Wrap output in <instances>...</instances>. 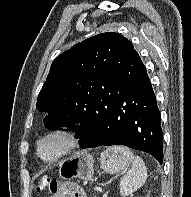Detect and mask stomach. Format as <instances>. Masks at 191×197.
Here are the masks:
<instances>
[{
    "instance_id": "stomach-1",
    "label": "stomach",
    "mask_w": 191,
    "mask_h": 197,
    "mask_svg": "<svg viewBox=\"0 0 191 197\" xmlns=\"http://www.w3.org/2000/svg\"><path fill=\"white\" fill-rule=\"evenodd\" d=\"M101 168L104 172L114 174L125 167L123 162L115 160L114 154L106 150L101 155ZM94 159L87 152H80L65 161L59 169L60 177L63 179L79 178L89 180L94 174Z\"/></svg>"
}]
</instances>
